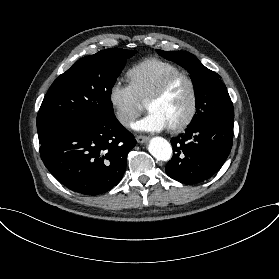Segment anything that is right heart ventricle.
<instances>
[{"label":"right heart ventricle","instance_id":"e07e8e85","mask_svg":"<svg viewBox=\"0 0 279 279\" xmlns=\"http://www.w3.org/2000/svg\"><path fill=\"white\" fill-rule=\"evenodd\" d=\"M179 72H183V70L177 64L168 60L150 57L131 67L127 75L130 86L137 97L145 100L167 77Z\"/></svg>","mask_w":279,"mask_h":279}]
</instances>
